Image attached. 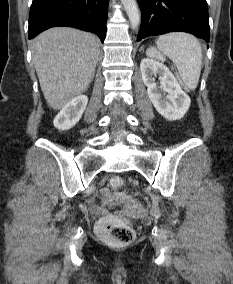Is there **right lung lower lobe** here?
Here are the masks:
<instances>
[{
	"label": "right lung lower lobe",
	"instance_id": "obj_1",
	"mask_svg": "<svg viewBox=\"0 0 233 284\" xmlns=\"http://www.w3.org/2000/svg\"><path fill=\"white\" fill-rule=\"evenodd\" d=\"M109 0H33L28 37L55 26H69L95 32L103 42Z\"/></svg>",
	"mask_w": 233,
	"mask_h": 284
}]
</instances>
